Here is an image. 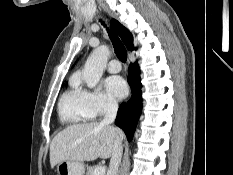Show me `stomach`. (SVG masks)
<instances>
[{
	"label": "stomach",
	"instance_id": "stomach-1",
	"mask_svg": "<svg viewBox=\"0 0 233 175\" xmlns=\"http://www.w3.org/2000/svg\"><path fill=\"white\" fill-rule=\"evenodd\" d=\"M58 175H83L85 167L79 161H62L57 165Z\"/></svg>",
	"mask_w": 233,
	"mask_h": 175
}]
</instances>
